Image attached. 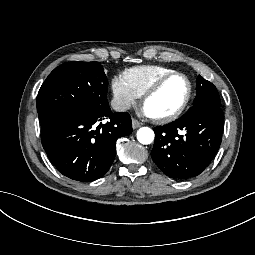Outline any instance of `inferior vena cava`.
Instances as JSON below:
<instances>
[{
    "instance_id": "inferior-vena-cava-1",
    "label": "inferior vena cava",
    "mask_w": 255,
    "mask_h": 255,
    "mask_svg": "<svg viewBox=\"0 0 255 255\" xmlns=\"http://www.w3.org/2000/svg\"><path fill=\"white\" fill-rule=\"evenodd\" d=\"M130 106H131V102L124 97L115 96L112 99V107L116 111H119V112L125 111L129 109Z\"/></svg>"
}]
</instances>
